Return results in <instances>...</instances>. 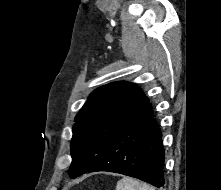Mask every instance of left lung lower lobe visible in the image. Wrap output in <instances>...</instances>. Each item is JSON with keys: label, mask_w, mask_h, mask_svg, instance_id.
I'll list each match as a JSON object with an SVG mask.
<instances>
[{"label": "left lung lower lobe", "mask_w": 221, "mask_h": 190, "mask_svg": "<svg viewBox=\"0 0 221 190\" xmlns=\"http://www.w3.org/2000/svg\"><path fill=\"white\" fill-rule=\"evenodd\" d=\"M164 158L161 130L148 103L117 131L87 172L120 173L159 188L165 184Z\"/></svg>", "instance_id": "0a47b994"}]
</instances>
